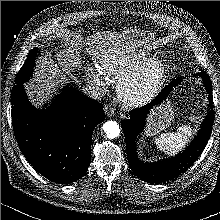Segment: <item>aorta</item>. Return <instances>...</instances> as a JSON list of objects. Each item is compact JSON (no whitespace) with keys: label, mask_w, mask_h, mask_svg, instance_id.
<instances>
[{"label":"aorta","mask_w":220,"mask_h":220,"mask_svg":"<svg viewBox=\"0 0 220 220\" xmlns=\"http://www.w3.org/2000/svg\"><path fill=\"white\" fill-rule=\"evenodd\" d=\"M103 130L109 139H114L120 134L119 125L115 121H107L104 123Z\"/></svg>","instance_id":"obj_1"}]
</instances>
